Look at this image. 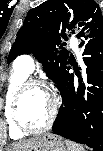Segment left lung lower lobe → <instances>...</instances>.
<instances>
[{"mask_svg":"<svg viewBox=\"0 0 103 151\" xmlns=\"http://www.w3.org/2000/svg\"><path fill=\"white\" fill-rule=\"evenodd\" d=\"M84 32L78 38L83 37ZM84 58L86 84L79 76L74 86L69 74L70 59L55 79L62 96V105L53 125V132L72 141L86 144L94 151H103V30H87ZM84 42L80 43L83 46ZM77 72V71H76Z\"/></svg>","mask_w":103,"mask_h":151,"instance_id":"left-lung-lower-lobe-1","label":"left lung lower lobe"}]
</instances>
